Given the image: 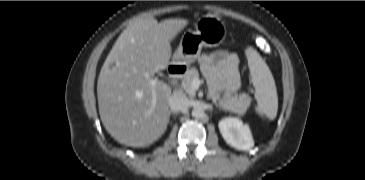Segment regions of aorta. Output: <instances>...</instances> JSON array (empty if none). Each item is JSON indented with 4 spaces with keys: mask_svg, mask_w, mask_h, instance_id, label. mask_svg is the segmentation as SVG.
<instances>
[{
    "mask_svg": "<svg viewBox=\"0 0 365 180\" xmlns=\"http://www.w3.org/2000/svg\"><path fill=\"white\" fill-rule=\"evenodd\" d=\"M192 116L195 118H202L204 116V110L201 107H195L192 110Z\"/></svg>",
    "mask_w": 365,
    "mask_h": 180,
    "instance_id": "aorta-1",
    "label": "aorta"
}]
</instances>
